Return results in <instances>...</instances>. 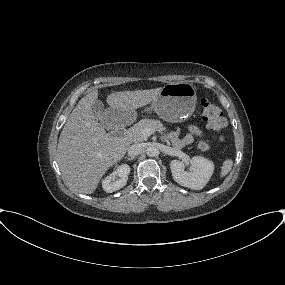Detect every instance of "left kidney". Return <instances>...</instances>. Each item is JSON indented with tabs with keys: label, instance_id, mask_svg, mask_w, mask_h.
I'll use <instances>...</instances> for the list:
<instances>
[{
	"label": "left kidney",
	"instance_id": "1",
	"mask_svg": "<svg viewBox=\"0 0 285 285\" xmlns=\"http://www.w3.org/2000/svg\"><path fill=\"white\" fill-rule=\"evenodd\" d=\"M191 170L185 171V164L180 160H172L170 168L173 179L181 186L194 190H201L207 184L214 171L212 161L194 156L190 160Z\"/></svg>",
	"mask_w": 285,
	"mask_h": 285
}]
</instances>
